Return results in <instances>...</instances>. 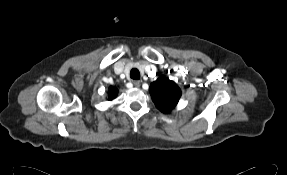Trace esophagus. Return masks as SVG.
<instances>
[{"label": "esophagus", "mask_w": 287, "mask_h": 175, "mask_svg": "<svg viewBox=\"0 0 287 175\" xmlns=\"http://www.w3.org/2000/svg\"><path fill=\"white\" fill-rule=\"evenodd\" d=\"M141 83H142L141 80H134L133 81V84H134L135 87H140Z\"/></svg>", "instance_id": "esophagus-1"}]
</instances>
